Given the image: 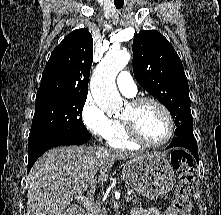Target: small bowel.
Returning <instances> with one entry per match:
<instances>
[{"instance_id":"small-bowel-1","label":"small bowel","mask_w":221,"mask_h":215,"mask_svg":"<svg viewBox=\"0 0 221 215\" xmlns=\"http://www.w3.org/2000/svg\"><path fill=\"white\" fill-rule=\"evenodd\" d=\"M132 215H179V214L174 208L169 207L163 212L159 211L157 208H150V209L136 208L133 210Z\"/></svg>"}]
</instances>
